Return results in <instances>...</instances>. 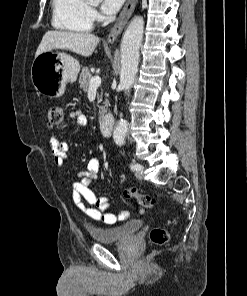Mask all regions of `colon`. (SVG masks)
Segmentation results:
<instances>
[{
  "mask_svg": "<svg viewBox=\"0 0 247 296\" xmlns=\"http://www.w3.org/2000/svg\"><path fill=\"white\" fill-rule=\"evenodd\" d=\"M47 122L50 128L62 127L65 123L64 111L60 106L53 105L49 107L47 112ZM125 197L136 200L141 206L145 208H152L155 206V200L148 195L141 194L134 188H128L124 191ZM168 232L163 228H153L150 231L149 238L153 245L161 246L168 241Z\"/></svg>",
  "mask_w": 247,
  "mask_h": 296,
  "instance_id": "5ec220e1",
  "label": "colon"
}]
</instances>
